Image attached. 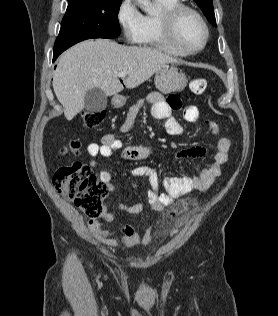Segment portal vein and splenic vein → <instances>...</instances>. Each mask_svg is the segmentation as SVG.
I'll return each mask as SVG.
<instances>
[{"mask_svg": "<svg viewBox=\"0 0 278 316\" xmlns=\"http://www.w3.org/2000/svg\"><path fill=\"white\" fill-rule=\"evenodd\" d=\"M126 75H127V73L124 72V71H122V72H120V73L118 74V76H119L120 78H125Z\"/></svg>", "mask_w": 278, "mask_h": 316, "instance_id": "obj_1", "label": "portal vein and splenic vein"}]
</instances>
